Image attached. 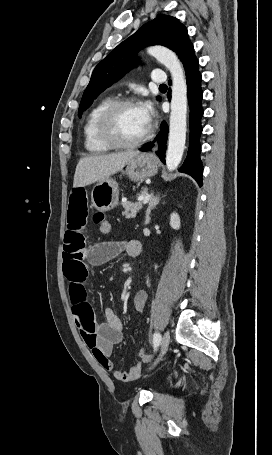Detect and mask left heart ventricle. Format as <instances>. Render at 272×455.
Instances as JSON below:
<instances>
[{"label": "left heart ventricle", "mask_w": 272, "mask_h": 455, "mask_svg": "<svg viewBox=\"0 0 272 455\" xmlns=\"http://www.w3.org/2000/svg\"><path fill=\"white\" fill-rule=\"evenodd\" d=\"M118 137L125 142L135 141L147 130L138 106L124 107L118 111L114 120Z\"/></svg>", "instance_id": "b2bd125f"}]
</instances>
